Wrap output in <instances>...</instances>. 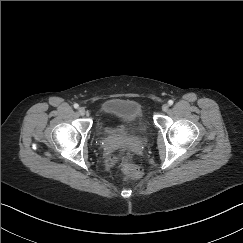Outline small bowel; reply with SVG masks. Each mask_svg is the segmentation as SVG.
<instances>
[{"label":"small bowel","instance_id":"obj_1","mask_svg":"<svg viewBox=\"0 0 243 243\" xmlns=\"http://www.w3.org/2000/svg\"><path fill=\"white\" fill-rule=\"evenodd\" d=\"M118 132L121 133V134H123V129H122V128H119V129H118ZM117 141H119V140H117ZM105 144H106V146H107L108 151H110L111 148H112V147H111V146H112L111 141L107 140V141H105ZM114 164H115V160H114V158H112V157H108V158L106 159V161H105V167H106L108 170H110V169L114 166Z\"/></svg>","mask_w":243,"mask_h":243}]
</instances>
